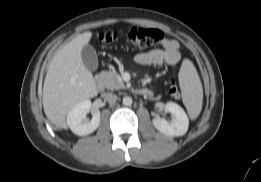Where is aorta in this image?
<instances>
[{
	"label": "aorta",
	"mask_w": 261,
	"mask_h": 182,
	"mask_svg": "<svg viewBox=\"0 0 261 182\" xmlns=\"http://www.w3.org/2000/svg\"><path fill=\"white\" fill-rule=\"evenodd\" d=\"M122 103H123V105H125V106H131L132 103H133V100H132L131 97L126 96V97L123 98Z\"/></svg>",
	"instance_id": "1"
}]
</instances>
